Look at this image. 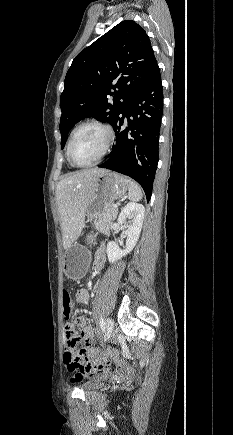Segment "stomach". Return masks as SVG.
<instances>
[{
	"label": "stomach",
	"mask_w": 233,
	"mask_h": 435,
	"mask_svg": "<svg viewBox=\"0 0 233 435\" xmlns=\"http://www.w3.org/2000/svg\"><path fill=\"white\" fill-rule=\"evenodd\" d=\"M128 188L129 180L126 177L110 171L100 174L96 179L94 192L86 209L87 219L94 222L101 218L104 209L122 197ZM93 239V236L88 237L89 242ZM89 260V250L86 246L72 245L65 250L63 256L64 273L70 279H82L87 272Z\"/></svg>",
	"instance_id": "obj_1"
}]
</instances>
